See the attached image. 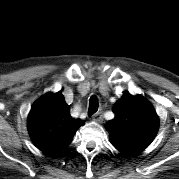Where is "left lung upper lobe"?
<instances>
[{
	"label": "left lung upper lobe",
	"mask_w": 179,
	"mask_h": 179,
	"mask_svg": "<svg viewBox=\"0 0 179 179\" xmlns=\"http://www.w3.org/2000/svg\"><path fill=\"white\" fill-rule=\"evenodd\" d=\"M115 118L106 124L113 146L129 152L144 150L155 138L159 119L144 97L124 94L113 106Z\"/></svg>",
	"instance_id": "5c2ea615"
}]
</instances>
